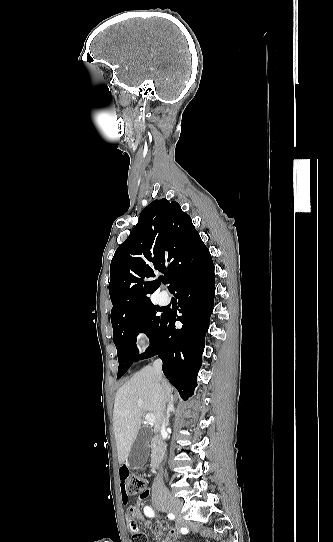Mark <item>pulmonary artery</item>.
Masks as SVG:
<instances>
[{
	"label": "pulmonary artery",
	"mask_w": 333,
	"mask_h": 542,
	"mask_svg": "<svg viewBox=\"0 0 333 542\" xmlns=\"http://www.w3.org/2000/svg\"><path fill=\"white\" fill-rule=\"evenodd\" d=\"M161 293H166L167 291L165 289L160 290ZM162 304L166 305L168 304V301H164Z\"/></svg>",
	"instance_id": "1"
}]
</instances>
